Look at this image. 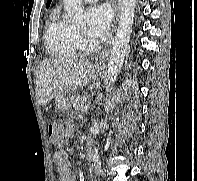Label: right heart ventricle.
I'll return each instance as SVG.
<instances>
[{"label":"right heart ventricle","instance_id":"right-heart-ventricle-1","mask_svg":"<svg viewBox=\"0 0 197 181\" xmlns=\"http://www.w3.org/2000/svg\"><path fill=\"white\" fill-rule=\"evenodd\" d=\"M44 43L48 54L55 58H72L80 53L76 29L58 14H53L47 23Z\"/></svg>","mask_w":197,"mask_h":181}]
</instances>
